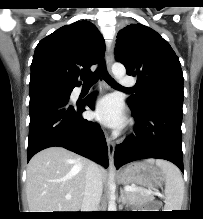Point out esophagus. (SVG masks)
<instances>
[{
    "label": "esophagus",
    "mask_w": 203,
    "mask_h": 219,
    "mask_svg": "<svg viewBox=\"0 0 203 219\" xmlns=\"http://www.w3.org/2000/svg\"><path fill=\"white\" fill-rule=\"evenodd\" d=\"M105 60H106V67L109 73H111V67L114 61V55H113V45L110 44L107 47L106 50V55H105ZM106 142H107V146H108V152H109V156L112 157L113 153H114V149H115V144L112 141V138L106 133Z\"/></svg>",
    "instance_id": "esophagus-1"
}]
</instances>
